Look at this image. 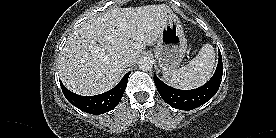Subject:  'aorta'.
I'll return each mask as SVG.
<instances>
[{
	"label": "aorta",
	"instance_id": "obj_1",
	"mask_svg": "<svg viewBox=\"0 0 276 138\" xmlns=\"http://www.w3.org/2000/svg\"><path fill=\"white\" fill-rule=\"evenodd\" d=\"M138 65L142 71H149L153 67V61L150 57H143L139 60Z\"/></svg>",
	"mask_w": 276,
	"mask_h": 138
}]
</instances>
